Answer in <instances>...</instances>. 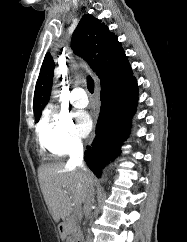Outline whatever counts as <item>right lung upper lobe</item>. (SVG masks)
I'll return each instance as SVG.
<instances>
[{"instance_id":"cb5924a9","label":"right lung upper lobe","mask_w":187,"mask_h":242,"mask_svg":"<svg viewBox=\"0 0 187 242\" xmlns=\"http://www.w3.org/2000/svg\"><path fill=\"white\" fill-rule=\"evenodd\" d=\"M71 47L75 54L84 57L100 79L101 87L117 82L132 74L121 43L108 27L92 15H83L72 35ZM54 61L45 55L36 83L33 110L35 117L47 105L53 81Z\"/></svg>"}]
</instances>
